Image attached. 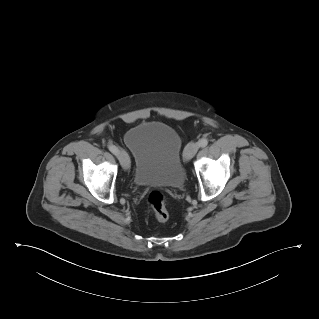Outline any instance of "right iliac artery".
Here are the masks:
<instances>
[{
	"mask_svg": "<svg viewBox=\"0 0 319 319\" xmlns=\"http://www.w3.org/2000/svg\"><path fill=\"white\" fill-rule=\"evenodd\" d=\"M108 148L114 155L118 154V148L115 145L111 144L108 146Z\"/></svg>",
	"mask_w": 319,
	"mask_h": 319,
	"instance_id": "1",
	"label": "right iliac artery"
}]
</instances>
